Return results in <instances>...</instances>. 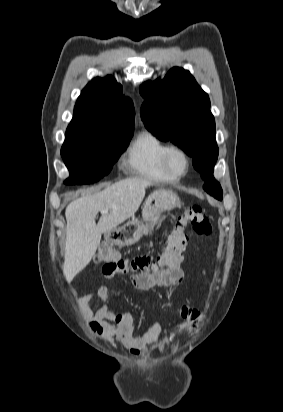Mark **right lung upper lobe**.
Returning a JSON list of instances; mask_svg holds the SVG:
<instances>
[{
	"label": "right lung upper lobe",
	"mask_w": 283,
	"mask_h": 412,
	"mask_svg": "<svg viewBox=\"0 0 283 412\" xmlns=\"http://www.w3.org/2000/svg\"><path fill=\"white\" fill-rule=\"evenodd\" d=\"M135 110L132 100L122 95V86L112 76L93 79L82 90L70 122L92 135L133 133Z\"/></svg>",
	"instance_id": "1"
}]
</instances>
